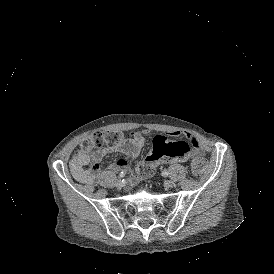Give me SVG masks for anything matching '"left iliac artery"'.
I'll use <instances>...</instances> for the list:
<instances>
[{"mask_svg":"<svg viewBox=\"0 0 274 274\" xmlns=\"http://www.w3.org/2000/svg\"><path fill=\"white\" fill-rule=\"evenodd\" d=\"M162 176L168 177L169 176V172L167 170H163L162 171Z\"/></svg>","mask_w":274,"mask_h":274,"instance_id":"left-iliac-artery-1","label":"left iliac artery"}]
</instances>
